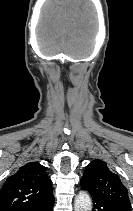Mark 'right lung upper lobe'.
Wrapping results in <instances>:
<instances>
[{"instance_id":"1","label":"right lung upper lobe","mask_w":133,"mask_h":211,"mask_svg":"<svg viewBox=\"0 0 133 211\" xmlns=\"http://www.w3.org/2000/svg\"><path fill=\"white\" fill-rule=\"evenodd\" d=\"M45 167L30 162L10 176L0 190V211H29L53 198Z\"/></svg>"}]
</instances>
